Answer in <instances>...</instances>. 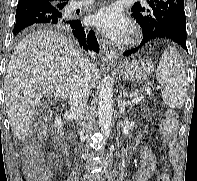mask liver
Returning a JSON list of instances; mask_svg holds the SVG:
<instances>
[{
	"label": "liver",
	"instance_id": "obj_1",
	"mask_svg": "<svg viewBox=\"0 0 197 181\" xmlns=\"http://www.w3.org/2000/svg\"><path fill=\"white\" fill-rule=\"evenodd\" d=\"M82 59L72 41L56 31H36L18 43L7 66L4 92L8 119L19 140L30 135L35 108L44 96L70 95ZM97 78L94 69L91 85Z\"/></svg>",
	"mask_w": 197,
	"mask_h": 181
}]
</instances>
